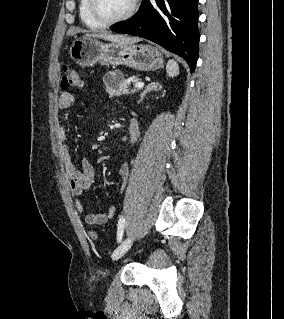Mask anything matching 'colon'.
Wrapping results in <instances>:
<instances>
[{
    "label": "colon",
    "mask_w": 284,
    "mask_h": 319,
    "mask_svg": "<svg viewBox=\"0 0 284 319\" xmlns=\"http://www.w3.org/2000/svg\"><path fill=\"white\" fill-rule=\"evenodd\" d=\"M82 85V79L80 77L79 72L73 68H64V74L62 77L61 87L66 90L69 88H78ZM89 237L92 240L97 239V233L95 231L89 232Z\"/></svg>",
    "instance_id": "colon-1"
}]
</instances>
